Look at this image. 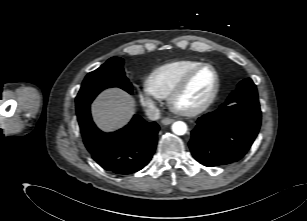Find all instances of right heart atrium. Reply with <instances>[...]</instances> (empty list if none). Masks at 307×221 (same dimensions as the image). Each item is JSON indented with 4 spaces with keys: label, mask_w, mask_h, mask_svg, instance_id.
I'll return each mask as SVG.
<instances>
[{
    "label": "right heart atrium",
    "mask_w": 307,
    "mask_h": 221,
    "mask_svg": "<svg viewBox=\"0 0 307 221\" xmlns=\"http://www.w3.org/2000/svg\"><path fill=\"white\" fill-rule=\"evenodd\" d=\"M137 97L140 103L149 110H152L156 107L155 98L149 94L146 90L137 91Z\"/></svg>",
    "instance_id": "d8ad5b80"
}]
</instances>
